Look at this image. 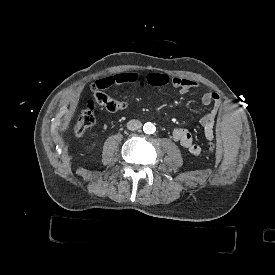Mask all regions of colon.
Here are the masks:
<instances>
[{"mask_svg":"<svg viewBox=\"0 0 275 275\" xmlns=\"http://www.w3.org/2000/svg\"><path fill=\"white\" fill-rule=\"evenodd\" d=\"M93 95L99 96V99L103 101V108L108 111L116 112L119 110H123L127 107V104L125 102L116 100L102 91H97L96 89H93ZM95 105V102H93L90 98L82 107V114L73 127V131L76 134H84L93 125L95 120V113L97 110L95 108ZM207 150L209 153L214 154L217 152L218 147L214 143H209L207 145Z\"/></svg>","mask_w":275,"mask_h":275,"instance_id":"5ec220e1","label":"colon"}]
</instances>
